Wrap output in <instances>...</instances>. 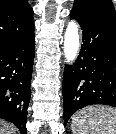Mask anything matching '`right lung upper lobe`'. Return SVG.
Wrapping results in <instances>:
<instances>
[{
	"label": "right lung upper lobe",
	"mask_w": 116,
	"mask_h": 134,
	"mask_svg": "<svg viewBox=\"0 0 116 134\" xmlns=\"http://www.w3.org/2000/svg\"><path fill=\"white\" fill-rule=\"evenodd\" d=\"M33 14L27 0H0V53L34 31Z\"/></svg>",
	"instance_id": "right-lung-upper-lobe-1"
}]
</instances>
